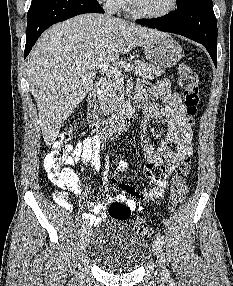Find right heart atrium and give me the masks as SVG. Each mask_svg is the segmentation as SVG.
I'll return each instance as SVG.
<instances>
[{"label":"right heart atrium","mask_w":233,"mask_h":286,"mask_svg":"<svg viewBox=\"0 0 233 286\" xmlns=\"http://www.w3.org/2000/svg\"><path fill=\"white\" fill-rule=\"evenodd\" d=\"M100 1L104 3V6L108 11H114L118 9L120 3L123 0H100Z\"/></svg>","instance_id":"d8ad5b80"}]
</instances>
